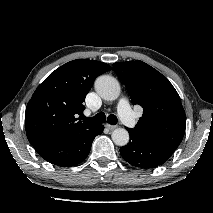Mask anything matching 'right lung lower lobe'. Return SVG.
Returning a JSON list of instances; mask_svg holds the SVG:
<instances>
[{
	"instance_id": "98d812e1",
	"label": "right lung lower lobe",
	"mask_w": 213,
	"mask_h": 213,
	"mask_svg": "<svg viewBox=\"0 0 213 213\" xmlns=\"http://www.w3.org/2000/svg\"><path fill=\"white\" fill-rule=\"evenodd\" d=\"M103 129V125L96 124L71 141L58 144L39 143L33 147L43 159L54 165L75 166L87 157L94 138L101 134Z\"/></svg>"
}]
</instances>
